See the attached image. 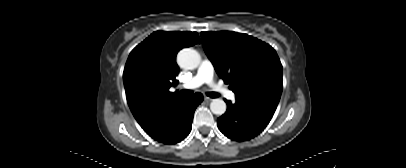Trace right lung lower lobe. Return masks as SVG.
Wrapping results in <instances>:
<instances>
[{
    "label": "right lung lower lobe",
    "instance_id": "obj_1",
    "mask_svg": "<svg viewBox=\"0 0 406 168\" xmlns=\"http://www.w3.org/2000/svg\"><path fill=\"white\" fill-rule=\"evenodd\" d=\"M203 101V95L180 98L143 130L153 139L175 144L188 136L192 128L195 109Z\"/></svg>",
    "mask_w": 406,
    "mask_h": 168
}]
</instances>
